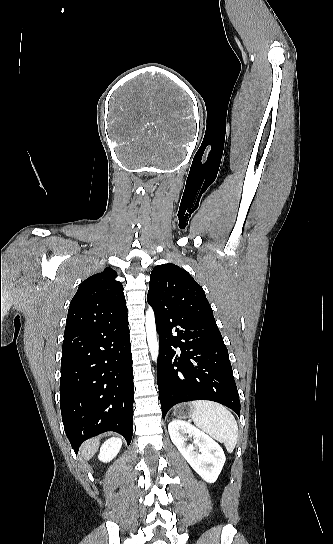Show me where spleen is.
Wrapping results in <instances>:
<instances>
[{"label": "spleen", "mask_w": 333, "mask_h": 544, "mask_svg": "<svg viewBox=\"0 0 333 544\" xmlns=\"http://www.w3.org/2000/svg\"><path fill=\"white\" fill-rule=\"evenodd\" d=\"M189 407L195 425L224 443L231 453L238 440V425L231 412L225 406L208 400L193 401Z\"/></svg>", "instance_id": "obj_1"}]
</instances>
